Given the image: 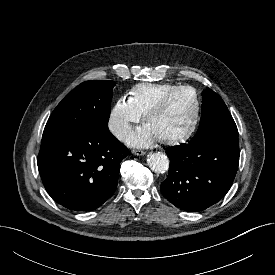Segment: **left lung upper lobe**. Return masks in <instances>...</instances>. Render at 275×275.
<instances>
[{"mask_svg":"<svg viewBox=\"0 0 275 275\" xmlns=\"http://www.w3.org/2000/svg\"><path fill=\"white\" fill-rule=\"evenodd\" d=\"M238 141V130L221 97L207 88L202 92V113L192 141Z\"/></svg>","mask_w":275,"mask_h":275,"instance_id":"1","label":"left lung upper lobe"}]
</instances>
